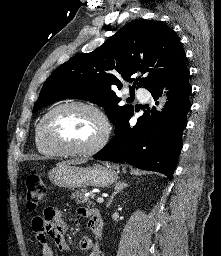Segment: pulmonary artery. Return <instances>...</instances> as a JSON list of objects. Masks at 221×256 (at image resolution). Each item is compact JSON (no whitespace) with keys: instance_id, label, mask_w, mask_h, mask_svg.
I'll return each mask as SVG.
<instances>
[{"instance_id":"obj_1","label":"pulmonary artery","mask_w":221,"mask_h":256,"mask_svg":"<svg viewBox=\"0 0 221 256\" xmlns=\"http://www.w3.org/2000/svg\"><path fill=\"white\" fill-rule=\"evenodd\" d=\"M136 96L141 99V100H147L148 97H149V93L146 89L144 88H139L137 91H136Z\"/></svg>"}]
</instances>
